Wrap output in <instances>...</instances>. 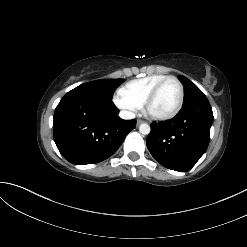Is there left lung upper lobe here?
<instances>
[{
	"label": "left lung upper lobe",
	"instance_id": "left-lung-upper-lobe-1",
	"mask_svg": "<svg viewBox=\"0 0 247 247\" xmlns=\"http://www.w3.org/2000/svg\"><path fill=\"white\" fill-rule=\"evenodd\" d=\"M179 79L184 85L183 105L188 104L195 99L206 98L204 93L192 81L184 76H179Z\"/></svg>",
	"mask_w": 247,
	"mask_h": 247
}]
</instances>
